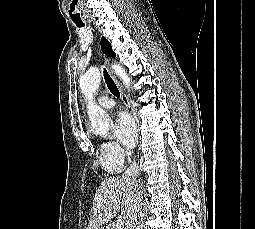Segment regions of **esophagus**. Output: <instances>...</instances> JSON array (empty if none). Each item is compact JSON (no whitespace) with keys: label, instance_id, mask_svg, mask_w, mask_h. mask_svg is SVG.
Instances as JSON below:
<instances>
[{"label":"esophagus","instance_id":"esophagus-1","mask_svg":"<svg viewBox=\"0 0 255 229\" xmlns=\"http://www.w3.org/2000/svg\"><path fill=\"white\" fill-rule=\"evenodd\" d=\"M106 66L108 68L109 74L111 75L112 79L114 80L115 84L117 85V88L119 89L121 99H122L125 107L129 110V112L132 114V116L134 117V119L136 120V122L138 124L139 121H138V118H137V115H136L135 108L131 105L128 97L125 94V91H124L121 83L118 81V79L116 78L113 70L111 69L109 59H106Z\"/></svg>","mask_w":255,"mask_h":229}]
</instances>
